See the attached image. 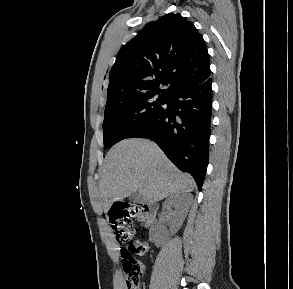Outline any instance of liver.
<instances>
[{
    "instance_id": "obj_1",
    "label": "liver",
    "mask_w": 293,
    "mask_h": 289,
    "mask_svg": "<svg viewBox=\"0 0 293 289\" xmlns=\"http://www.w3.org/2000/svg\"><path fill=\"white\" fill-rule=\"evenodd\" d=\"M193 178L180 172L153 142L126 139L107 153L101 171L100 197L116 201L138 192L155 203L173 193L191 192Z\"/></svg>"
}]
</instances>
